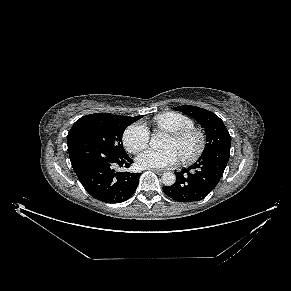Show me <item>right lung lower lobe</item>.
I'll list each match as a JSON object with an SVG mask.
<instances>
[{
    "label": "right lung lower lobe",
    "mask_w": 291,
    "mask_h": 291,
    "mask_svg": "<svg viewBox=\"0 0 291 291\" xmlns=\"http://www.w3.org/2000/svg\"><path fill=\"white\" fill-rule=\"evenodd\" d=\"M72 167L85 190L105 203H121L136 191L141 173L117 172L133 160L89 139L68 143Z\"/></svg>",
    "instance_id": "obj_1"
}]
</instances>
